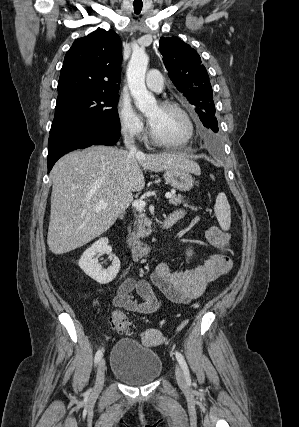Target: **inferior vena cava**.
<instances>
[{
  "mask_svg": "<svg viewBox=\"0 0 299 427\" xmlns=\"http://www.w3.org/2000/svg\"><path fill=\"white\" fill-rule=\"evenodd\" d=\"M124 143H125L126 148L130 150V153H132V154H138L139 153V151L137 150V148L134 145V140L129 138L127 135H125Z\"/></svg>",
  "mask_w": 299,
  "mask_h": 427,
  "instance_id": "obj_1",
  "label": "inferior vena cava"
}]
</instances>
